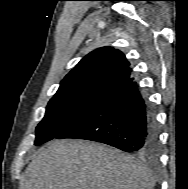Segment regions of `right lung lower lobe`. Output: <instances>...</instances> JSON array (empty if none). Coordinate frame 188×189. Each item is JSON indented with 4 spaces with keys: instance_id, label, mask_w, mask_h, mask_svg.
I'll return each instance as SVG.
<instances>
[{
    "instance_id": "obj_1",
    "label": "right lung lower lobe",
    "mask_w": 188,
    "mask_h": 189,
    "mask_svg": "<svg viewBox=\"0 0 188 189\" xmlns=\"http://www.w3.org/2000/svg\"><path fill=\"white\" fill-rule=\"evenodd\" d=\"M55 138L92 140L145 154L157 149L158 127L150 103L131 82L107 94Z\"/></svg>"
}]
</instances>
